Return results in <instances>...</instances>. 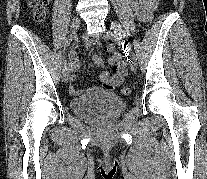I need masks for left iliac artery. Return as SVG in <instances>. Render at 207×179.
<instances>
[{
  "label": "left iliac artery",
  "mask_w": 207,
  "mask_h": 179,
  "mask_svg": "<svg viewBox=\"0 0 207 179\" xmlns=\"http://www.w3.org/2000/svg\"><path fill=\"white\" fill-rule=\"evenodd\" d=\"M114 32H117V35L120 36V39L123 40V45L125 46V50L128 51L130 57H133V45L130 44V39L127 35H125V32L123 29H120V25L115 24L113 26Z\"/></svg>",
  "instance_id": "44dca946"
}]
</instances>
